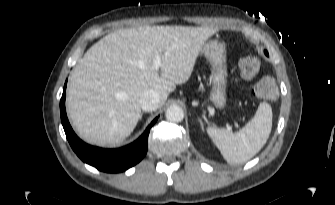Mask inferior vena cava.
<instances>
[{
	"mask_svg": "<svg viewBox=\"0 0 335 205\" xmlns=\"http://www.w3.org/2000/svg\"><path fill=\"white\" fill-rule=\"evenodd\" d=\"M159 101V94L154 90H148L141 95L139 104L143 111H154L159 107Z\"/></svg>",
	"mask_w": 335,
	"mask_h": 205,
	"instance_id": "inferior-vena-cava-1",
	"label": "inferior vena cava"
}]
</instances>
